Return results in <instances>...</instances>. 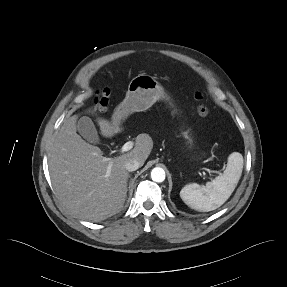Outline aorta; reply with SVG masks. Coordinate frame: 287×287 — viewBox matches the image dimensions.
Here are the masks:
<instances>
[{"label": "aorta", "mask_w": 287, "mask_h": 287, "mask_svg": "<svg viewBox=\"0 0 287 287\" xmlns=\"http://www.w3.org/2000/svg\"><path fill=\"white\" fill-rule=\"evenodd\" d=\"M165 171L160 167H155L151 171V179L154 182H163L165 180Z\"/></svg>", "instance_id": "obj_1"}]
</instances>
